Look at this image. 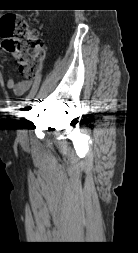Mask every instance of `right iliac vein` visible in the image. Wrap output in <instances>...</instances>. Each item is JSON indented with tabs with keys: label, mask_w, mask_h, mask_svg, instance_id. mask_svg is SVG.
<instances>
[{
	"label": "right iliac vein",
	"mask_w": 138,
	"mask_h": 253,
	"mask_svg": "<svg viewBox=\"0 0 138 253\" xmlns=\"http://www.w3.org/2000/svg\"><path fill=\"white\" fill-rule=\"evenodd\" d=\"M34 98H31V102L28 104V106L26 107V111L24 113V126L28 127L29 126V120L31 118V114L34 110ZM26 129L22 128L21 132L18 135V138L23 142L26 139Z\"/></svg>",
	"instance_id": "1"
}]
</instances>
